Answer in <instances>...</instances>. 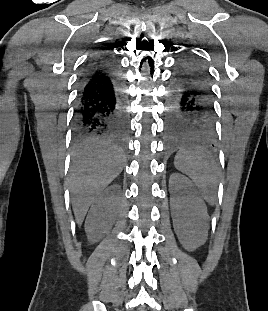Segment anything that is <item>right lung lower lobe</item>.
I'll list each match as a JSON object with an SVG mask.
<instances>
[{"label": "right lung lower lobe", "instance_id": "obj_1", "mask_svg": "<svg viewBox=\"0 0 268 311\" xmlns=\"http://www.w3.org/2000/svg\"><path fill=\"white\" fill-rule=\"evenodd\" d=\"M73 119L76 139L104 136L118 142L125 140L126 98L118 65L111 56L102 54L86 66Z\"/></svg>", "mask_w": 268, "mask_h": 311}]
</instances>
